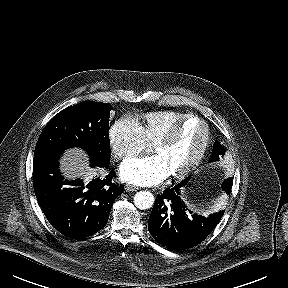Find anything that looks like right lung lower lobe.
I'll return each instance as SVG.
<instances>
[{"label": "right lung lower lobe", "mask_w": 288, "mask_h": 288, "mask_svg": "<svg viewBox=\"0 0 288 288\" xmlns=\"http://www.w3.org/2000/svg\"><path fill=\"white\" fill-rule=\"evenodd\" d=\"M114 176L112 170L106 178L84 184L81 180H64L58 160L33 164V186L42 211L57 231L72 239L89 237L106 225L116 197L124 191L123 185L112 182Z\"/></svg>", "instance_id": "98d812e1"}]
</instances>
